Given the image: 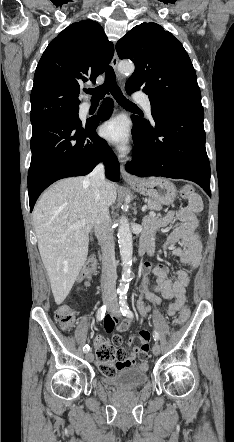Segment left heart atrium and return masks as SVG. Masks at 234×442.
I'll use <instances>...</instances> for the list:
<instances>
[{
    "mask_svg": "<svg viewBox=\"0 0 234 442\" xmlns=\"http://www.w3.org/2000/svg\"><path fill=\"white\" fill-rule=\"evenodd\" d=\"M101 135L119 149L124 150L129 138L126 121L121 117L106 120L101 126Z\"/></svg>",
    "mask_w": 234,
    "mask_h": 442,
    "instance_id": "39dd6f15",
    "label": "left heart atrium"
}]
</instances>
